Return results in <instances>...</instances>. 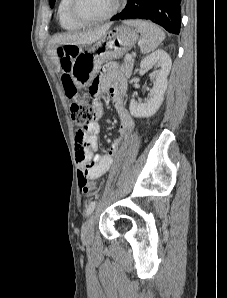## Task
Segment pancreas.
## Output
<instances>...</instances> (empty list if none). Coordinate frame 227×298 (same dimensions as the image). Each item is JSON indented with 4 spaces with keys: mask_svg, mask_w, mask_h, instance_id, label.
I'll use <instances>...</instances> for the list:
<instances>
[{
    "mask_svg": "<svg viewBox=\"0 0 227 298\" xmlns=\"http://www.w3.org/2000/svg\"><path fill=\"white\" fill-rule=\"evenodd\" d=\"M133 65H134V60H127L125 58L123 64L120 67V70L125 73V75L129 76L132 73L133 70Z\"/></svg>",
    "mask_w": 227,
    "mask_h": 298,
    "instance_id": "cf45deb5",
    "label": "pancreas"
}]
</instances>
